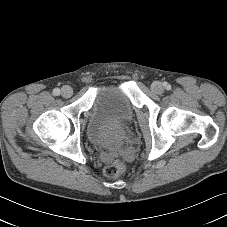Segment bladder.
<instances>
[{
	"label": "bladder",
	"instance_id": "obj_1",
	"mask_svg": "<svg viewBox=\"0 0 227 227\" xmlns=\"http://www.w3.org/2000/svg\"><path fill=\"white\" fill-rule=\"evenodd\" d=\"M134 120V108L126 92L117 85L100 87L90 109L86 133L95 146L117 149Z\"/></svg>",
	"mask_w": 227,
	"mask_h": 227
}]
</instances>
